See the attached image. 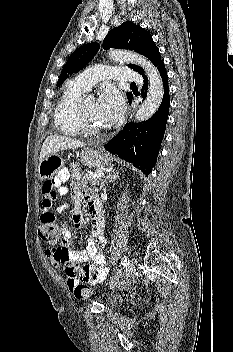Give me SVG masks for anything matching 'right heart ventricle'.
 I'll return each instance as SVG.
<instances>
[{
    "mask_svg": "<svg viewBox=\"0 0 233 352\" xmlns=\"http://www.w3.org/2000/svg\"><path fill=\"white\" fill-rule=\"evenodd\" d=\"M85 91L74 81L65 85L54 114L56 127L65 135L77 136L82 133L77 119V108L79 97Z\"/></svg>",
    "mask_w": 233,
    "mask_h": 352,
    "instance_id": "e07e8e85",
    "label": "right heart ventricle"
}]
</instances>
